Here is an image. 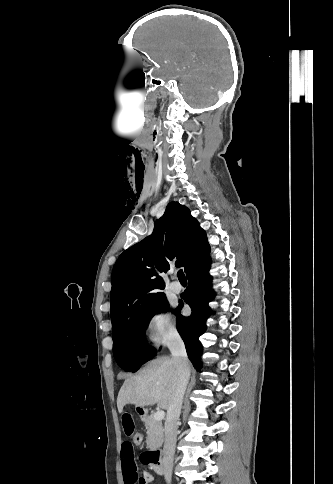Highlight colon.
<instances>
[{
  "label": "colon",
  "mask_w": 333,
  "mask_h": 484,
  "mask_svg": "<svg viewBox=\"0 0 333 484\" xmlns=\"http://www.w3.org/2000/svg\"><path fill=\"white\" fill-rule=\"evenodd\" d=\"M142 440H143V436H142L141 433L136 432L133 435V442H134V444L140 445L142 443Z\"/></svg>",
  "instance_id": "5ec220e1"
}]
</instances>
